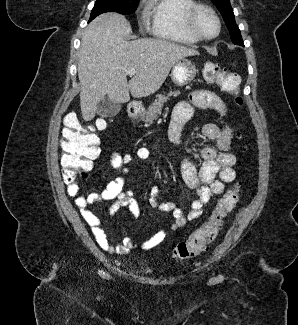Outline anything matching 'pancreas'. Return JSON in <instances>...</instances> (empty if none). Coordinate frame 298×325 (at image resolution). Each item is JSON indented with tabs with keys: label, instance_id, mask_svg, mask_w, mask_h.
<instances>
[{
	"label": "pancreas",
	"instance_id": "obj_1",
	"mask_svg": "<svg viewBox=\"0 0 298 325\" xmlns=\"http://www.w3.org/2000/svg\"><path fill=\"white\" fill-rule=\"evenodd\" d=\"M178 94H181V90L179 88H176V90H170V92H163V94H156L155 100H153L152 104L148 106L147 112H145V118L146 122H153L155 118H157L158 114H161L162 108L164 104H166L167 100H170V96H178Z\"/></svg>",
	"mask_w": 298,
	"mask_h": 325
}]
</instances>
